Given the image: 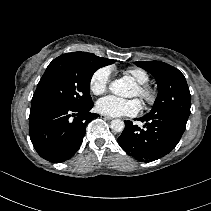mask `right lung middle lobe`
Returning a JSON list of instances; mask_svg holds the SVG:
<instances>
[{"label":"right lung middle lobe","instance_id":"dd1d6c3e","mask_svg":"<svg viewBox=\"0 0 211 211\" xmlns=\"http://www.w3.org/2000/svg\"><path fill=\"white\" fill-rule=\"evenodd\" d=\"M115 60H100L87 52H73L55 58L47 67L33 95L31 106L55 104L83 108L93 103L90 81L93 73Z\"/></svg>","mask_w":211,"mask_h":211}]
</instances>
